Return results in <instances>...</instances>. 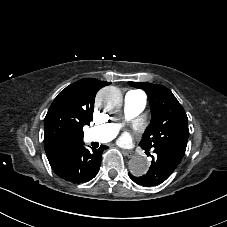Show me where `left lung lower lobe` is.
Here are the masks:
<instances>
[{
  "instance_id": "left-lung-lower-lobe-1",
  "label": "left lung lower lobe",
  "mask_w": 227,
  "mask_h": 227,
  "mask_svg": "<svg viewBox=\"0 0 227 227\" xmlns=\"http://www.w3.org/2000/svg\"><path fill=\"white\" fill-rule=\"evenodd\" d=\"M153 152L155 155L151 156V166L146 175L135 177L129 173L134 182L148 187L158 185L172 174L182 160V157L171 154L167 150H154Z\"/></svg>"
}]
</instances>
